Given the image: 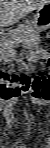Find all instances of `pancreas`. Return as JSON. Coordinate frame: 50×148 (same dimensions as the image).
Returning a JSON list of instances; mask_svg holds the SVG:
<instances>
[{
    "instance_id": "1",
    "label": "pancreas",
    "mask_w": 50,
    "mask_h": 148,
    "mask_svg": "<svg viewBox=\"0 0 50 148\" xmlns=\"http://www.w3.org/2000/svg\"><path fill=\"white\" fill-rule=\"evenodd\" d=\"M10 36L12 37V43H14L15 45L23 43L27 46H32L34 44V41L39 38L37 31L33 30L30 26L23 25L19 26L14 31H11Z\"/></svg>"
}]
</instances>
